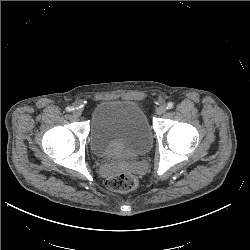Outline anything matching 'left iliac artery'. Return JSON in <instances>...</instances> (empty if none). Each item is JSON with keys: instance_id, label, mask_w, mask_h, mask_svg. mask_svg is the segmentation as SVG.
<instances>
[{"instance_id": "1", "label": "left iliac artery", "mask_w": 250, "mask_h": 250, "mask_svg": "<svg viewBox=\"0 0 250 250\" xmlns=\"http://www.w3.org/2000/svg\"><path fill=\"white\" fill-rule=\"evenodd\" d=\"M173 106H174L173 102H169V103L167 104L166 108H167V109H171V108H173Z\"/></svg>"}]
</instances>
